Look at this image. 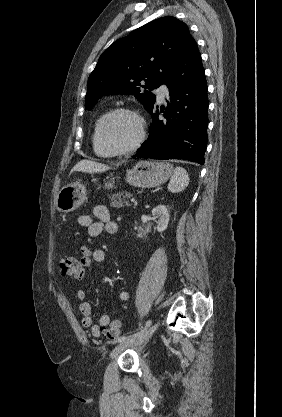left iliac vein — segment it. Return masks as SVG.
Returning <instances> with one entry per match:
<instances>
[{
  "mask_svg": "<svg viewBox=\"0 0 282 417\" xmlns=\"http://www.w3.org/2000/svg\"><path fill=\"white\" fill-rule=\"evenodd\" d=\"M158 327H159V323H156L152 325L150 328H148L142 334L120 342L110 353V358L114 359L125 349L132 347V346L140 345L143 342L147 341L152 336V334L158 329Z\"/></svg>",
  "mask_w": 282,
  "mask_h": 417,
  "instance_id": "obj_1",
  "label": "left iliac vein"
}]
</instances>
